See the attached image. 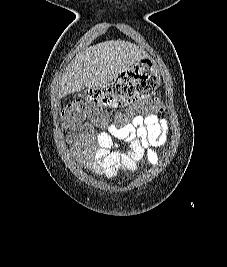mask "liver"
Here are the masks:
<instances>
[{"mask_svg": "<svg viewBox=\"0 0 227 267\" xmlns=\"http://www.w3.org/2000/svg\"><path fill=\"white\" fill-rule=\"evenodd\" d=\"M145 57L144 51L129 42L105 41L79 54L63 73L58 85L59 97L79 92L85 87H103L128 64Z\"/></svg>", "mask_w": 227, "mask_h": 267, "instance_id": "liver-1", "label": "liver"}]
</instances>
